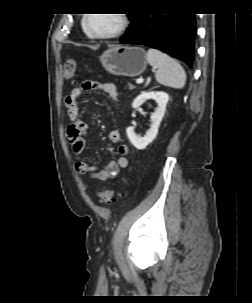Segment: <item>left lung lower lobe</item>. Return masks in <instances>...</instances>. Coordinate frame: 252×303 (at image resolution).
<instances>
[{"label":"left lung lower lobe","instance_id":"1","mask_svg":"<svg viewBox=\"0 0 252 303\" xmlns=\"http://www.w3.org/2000/svg\"><path fill=\"white\" fill-rule=\"evenodd\" d=\"M194 13L143 12L133 31L122 44H142L159 49L192 67L195 54Z\"/></svg>","mask_w":252,"mask_h":303}]
</instances>
